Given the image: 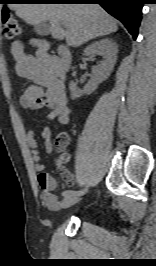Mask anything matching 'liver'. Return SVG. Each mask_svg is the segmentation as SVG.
<instances>
[{
	"label": "liver",
	"instance_id": "6515ba94",
	"mask_svg": "<svg viewBox=\"0 0 156 266\" xmlns=\"http://www.w3.org/2000/svg\"><path fill=\"white\" fill-rule=\"evenodd\" d=\"M10 8L30 25L49 21L52 37L65 39L72 47L118 29L116 20L96 4H11Z\"/></svg>",
	"mask_w": 156,
	"mask_h": 266
}]
</instances>
